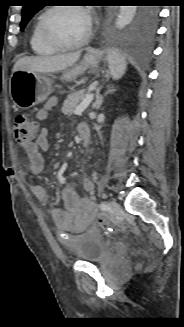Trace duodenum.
I'll return each instance as SVG.
<instances>
[{
  "label": "duodenum",
  "mask_w": 184,
  "mask_h": 327,
  "mask_svg": "<svg viewBox=\"0 0 184 327\" xmlns=\"http://www.w3.org/2000/svg\"><path fill=\"white\" fill-rule=\"evenodd\" d=\"M78 132L82 142L86 143L88 141V136H89L88 127L86 125H80Z\"/></svg>",
  "instance_id": "duodenum-1"
}]
</instances>
